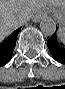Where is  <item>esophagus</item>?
<instances>
[{
	"label": "esophagus",
	"mask_w": 65,
	"mask_h": 89,
	"mask_svg": "<svg viewBox=\"0 0 65 89\" xmlns=\"http://www.w3.org/2000/svg\"><path fill=\"white\" fill-rule=\"evenodd\" d=\"M41 18H42V14H38L37 16H35V17L33 18V21H34V22H39V21L41 20Z\"/></svg>",
	"instance_id": "1"
}]
</instances>
